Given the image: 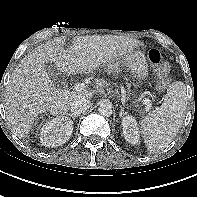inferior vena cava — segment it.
Returning a JSON list of instances; mask_svg holds the SVG:
<instances>
[{
  "mask_svg": "<svg viewBox=\"0 0 197 197\" xmlns=\"http://www.w3.org/2000/svg\"><path fill=\"white\" fill-rule=\"evenodd\" d=\"M91 105L90 100L85 96H77L73 99V101L70 103L71 111L79 115L82 112L86 111Z\"/></svg>",
  "mask_w": 197,
  "mask_h": 197,
  "instance_id": "obj_1",
  "label": "inferior vena cava"
}]
</instances>
